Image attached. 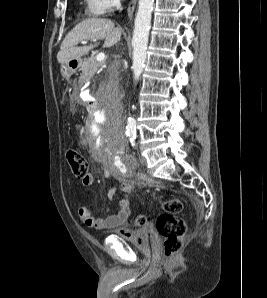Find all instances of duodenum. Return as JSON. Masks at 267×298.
Wrapping results in <instances>:
<instances>
[{
	"instance_id": "410a0bca",
	"label": "duodenum",
	"mask_w": 267,
	"mask_h": 298,
	"mask_svg": "<svg viewBox=\"0 0 267 298\" xmlns=\"http://www.w3.org/2000/svg\"><path fill=\"white\" fill-rule=\"evenodd\" d=\"M98 98L99 93H91L90 100H85L86 115H96L97 107L95 105H98Z\"/></svg>"
}]
</instances>
